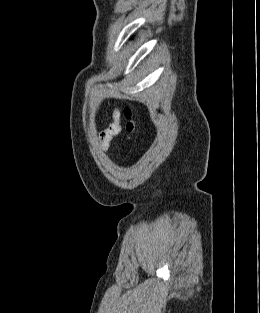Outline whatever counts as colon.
I'll return each instance as SVG.
<instances>
[{"label": "colon", "mask_w": 260, "mask_h": 313, "mask_svg": "<svg viewBox=\"0 0 260 313\" xmlns=\"http://www.w3.org/2000/svg\"><path fill=\"white\" fill-rule=\"evenodd\" d=\"M124 115L127 119L126 131L129 134V136H131L136 130V125L133 119L134 117L133 110L129 107L125 108Z\"/></svg>", "instance_id": "1"}]
</instances>
